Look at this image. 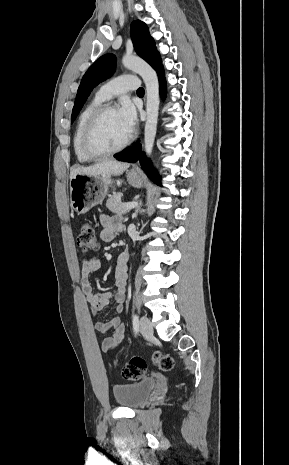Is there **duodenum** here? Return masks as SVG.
I'll list each match as a JSON object with an SVG mask.
<instances>
[{
	"label": "duodenum",
	"mask_w": 289,
	"mask_h": 465,
	"mask_svg": "<svg viewBox=\"0 0 289 465\" xmlns=\"http://www.w3.org/2000/svg\"><path fill=\"white\" fill-rule=\"evenodd\" d=\"M120 259L123 261V262H128L129 260V252L127 250L123 251L120 255Z\"/></svg>",
	"instance_id": "duodenum-1"
}]
</instances>
